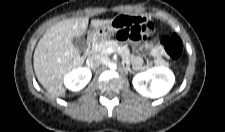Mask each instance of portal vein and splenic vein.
Instances as JSON below:
<instances>
[{"instance_id": "18ae733b", "label": "portal vein and splenic vein", "mask_w": 225, "mask_h": 132, "mask_svg": "<svg viewBox=\"0 0 225 132\" xmlns=\"http://www.w3.org/2000/svg\"><path fill=\"white\" fill-rule=\"evenodd\" d=\"M106 51H107L108 53L114 52V50H113L112 48H108Z\"/></svg>"}]
</instances>
